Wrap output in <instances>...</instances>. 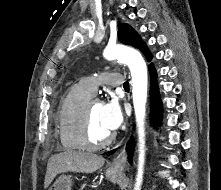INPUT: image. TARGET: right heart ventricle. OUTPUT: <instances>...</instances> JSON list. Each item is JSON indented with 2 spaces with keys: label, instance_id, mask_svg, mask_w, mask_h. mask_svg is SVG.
I'll return each instance as SVG.
<instances>
[{
  "label": "right heart ventricle",
  "instance_id": "obj_1",
  "mask_svg": "<svg viewBox=\"0 0 221 190\" xmlns=\"http://www.w3.org/2000/svg\"><path fill=\"white\" fill-rule=\"evenodd\" d=\"M92 98L81 84L72 86L64 98L57 113L59 140L66 151L86 149L80 134L81 116L85 103Z\"/></svg>",
  "mask_w": 221,
  "mask_h": 190
}]
</instances>
